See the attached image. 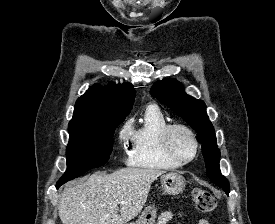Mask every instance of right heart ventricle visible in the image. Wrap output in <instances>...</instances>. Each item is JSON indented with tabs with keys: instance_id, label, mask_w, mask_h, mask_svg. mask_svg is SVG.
<instances>
[{
	"instance_id": "obj_1",
	"label": "right heart ventricle",
	"mask_w": 275,
	"mask_h": 224,
	"mask_svg": "<svg viewBox=\"0 0 275 224\" xmlns=\"http://www.w3.org/2000/svg\"><path fill=\"white\" fill-rule=\"evenodd\" d=\"M167 125V119L157 107L149 106L145 110L139 126L131 129L129 165L150 170H173L180 167L164 153L161 146V135Z\"/></svg>"
}]
</instances>
